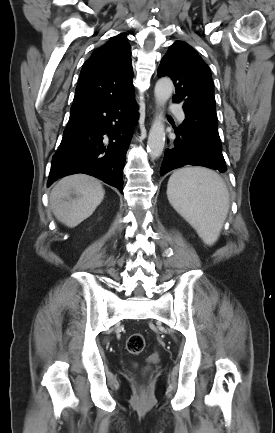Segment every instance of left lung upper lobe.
I'll use <instances>...</instances> for the list:
<instances>
[{"mask_svg": "<svg viewBox=\"0 0 275 433\" xmlns=\"http://www.w3.org/2000/svg\"><path fill=\"white\" fill-rule=\"evenodd\" d=\"M158 74L173 80V100L183 103L186 119L178 130L195 135L215 161L226 167L217 128L214 84L207 64L186 42L176 41L162 58Z\"/></svg>", "mask_w": 275, "mask_h": 433, "instance_id": "1", "label": "left lung upper lobe"}]
</instances>
